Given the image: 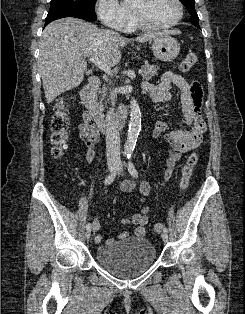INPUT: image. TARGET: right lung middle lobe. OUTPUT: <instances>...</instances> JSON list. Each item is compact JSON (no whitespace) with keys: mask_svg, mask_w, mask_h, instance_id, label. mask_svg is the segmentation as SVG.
I'll return each instance as SVG.
<instances>
[{"mask_svg":"<svg viewBox=\"0 0 245 314\" xmlns=\"http://www.w3.org/2000/svg\"><path fill=\"white\" fill-rule=\"evenodd\" d=\"M95 2L96 0H51L48 14L72 11L96 15Z\"/></svg>","mask_w":245,"mask_h":314,"instance_id":"obj_1","label":"right lung middle lobe"}]
</instances>
